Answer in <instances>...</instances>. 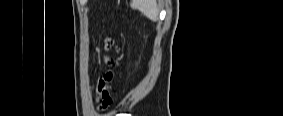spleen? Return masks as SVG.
<instances>
[{
	"label": "spleen",
	"mask_w": 283,
	"mask_h": 116,
	"mask_svg": "<svg viewBox=\"0 0 283 116\" xmlns=\"http://www.w3.org/2000/svg\"><path fill=\"white\" fill-rule=\"evenodd\" d=\"M130 6L132 9L139 10L151 21L156 22L158 20L159 10L155 0H133Z\"/></svg>",
	"instance_id": "3e777b00"
}]
</instances>
